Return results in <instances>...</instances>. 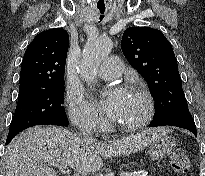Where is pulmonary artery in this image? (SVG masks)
Segmentation results:
<instances>
[{
    "mask_svg": "<svg viewBox=\"0 0 205 176\" xmlns=\"http://www.w3.org/2000/svg\"><path fill=\"white\" fill-rule=\"evenodd\" d=\"M123 63L117 56L107 57L97 68L96 73L103 79H114L121 76Z\"/></svg>",
    "mask_w": 205,
    "mask_h": 176,
    "instance_id": "pulmonary-artery-1",
    "label": "pulmonary artery"
}]
</instances>
